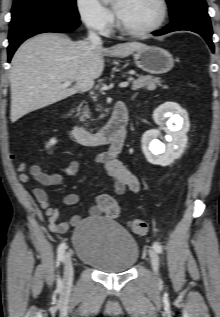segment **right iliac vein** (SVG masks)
Segmentation results:
<instances>
[{"label": "right iliac vein", "instance_id": "right-iliac-vein-1", "mask_svg": "<svg viewBox=\"0 0 220 317\" xmlns=\"http://www.w3.org/2000/svg\"><path fill=\"white\" fill-rule=\"evenodd\" d=\"M74 268L72 263V257L70 253H67L64 258V276H63V288L68 290L73 282Z\"/></svg>", "mask_w": 220, "mask_h": 317}]
</instances>
